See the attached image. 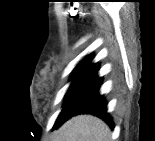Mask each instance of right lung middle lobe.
<instances>
[{
    "label": "right lung middle lobe",
    "instance_id": "right-lung-middle-lobe-1",
    "mask_svg": "<svg viewBox=\"0 0 155 141\" xmlns=\"http://www.w3.org/2000/svg\"><path fill=\"white\" fill-rule=\"evenodd\" d=\"M95 75L93 72H74L70 78L72 80L71 85L65 95V105L69 102V100ZM63 118V110L61 111L59 117L57 118V123L61 121Z\"/></svg>",
    "mask_w": 155,
    "mask_h": 141
}]
</instances>
